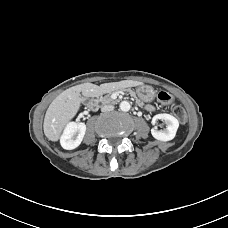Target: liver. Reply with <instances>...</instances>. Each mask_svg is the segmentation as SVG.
Listing matches in <instances>:
<instances>
[{
  "mask_svg": "<svg viewBox=\"0 0 228 228\" xmlns=\"http://www.w3.org/2000/svg\"><path fill=\"white\" fill-rule=\"evenodd\" d=\"M123 84L128 86H140L142 82L121 81L97 86L92 83H83L66 89L59 94L49 105L43 123L45 136L53 142L60 139L62 132L79 110L84 97H97L104 92L120 88Z\"/></svg>",
  "mask_w": 228,
  "mask_h": 228,
  "instance_id": "1",
  "label": "liver"
}]
</instances>
